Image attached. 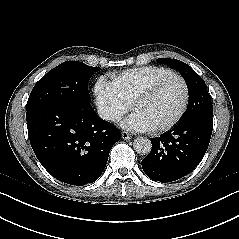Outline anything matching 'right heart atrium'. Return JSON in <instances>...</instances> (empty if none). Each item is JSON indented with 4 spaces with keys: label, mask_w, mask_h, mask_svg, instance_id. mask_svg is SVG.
<instances>
[{
    "label": "right heart atrium",
    "mask_w": 239,
    "mask_h": 239,
    "mask_svg": "<svg viewBox=\"0 0 239 239\" xmlns=\"http://www.w3.org/2000/svg\"><path fill=\"white\" fill-rule=\"evenodd\" d=\"M94 96L98 112L106 121L117 122L129 110V103L105 77L96 81Z\"/></svg>",
    "instance_id": "right-heart-atrium-1"
}]
</instances>
